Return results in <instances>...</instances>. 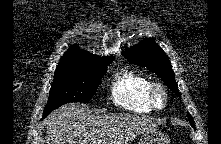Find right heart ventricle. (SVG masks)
Listing matches in <instances>:
<instances>
[{
    "instance_id": "obj_1",
    "label": "right heart ventricle",
    "mask_w": 221,
    "mask_h": 144,
    "mask_svg": "<svg viewBox=\"0 0 221 144\" xmlns=\"http://www.w3.org/2000/svg\"><path fill=\"white\" fill-rule=\"evenodd\" d=\"M151 81L144 74L130 68L122 69L111 86L113 102L128 111L147 113L153 108L149 102Z\"/></svg>"
}]
</instances>
